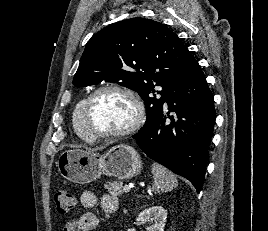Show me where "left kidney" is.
I'll return each instance as SVG.
<instances>
[{
  "label": "left kidney",
  "mask_w": 268,
  "mask_h": 231,
  "mask_svg": "<svg viewBox=\"0 0 268 231\" xmlns=\"http://www.w3.org/2000/svg\"><path fill=\"white\" fill-rule=\"evenodd\" d=\"M167 219V211L162 206H152L140 212L138 221L144 224L151 221V225L146 228L147 231H164Z\"/></svg>",
  "instance_id": "left-kidney-1"
}]
</instances>
